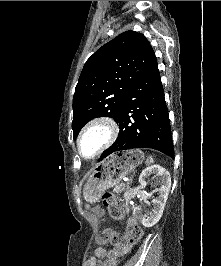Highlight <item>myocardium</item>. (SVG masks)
I'll return each mask as SVG.
<instances>
[{
    "mask_svg": "<svg viewBox=\"0 0 221 266\" xmlns=\"http://www.w3.org/2000/svg\"><path fill=\"white\" fill-rule=\"evenodd\" d=\"M102 126L107 130V137L101 146L90 156H85L82 152L81 143L84 136L93 128ZM119 133V126L116 121L108 116H99L90 120L80 131L77 140L76 148L78 155L84 160H93L106 150L116 139Z\"/></svg>",
    "mask_w": 221,
    "mask_h": 266,
    "instance_id": "1",
    "label": "myocardium"
}]
</instances>
